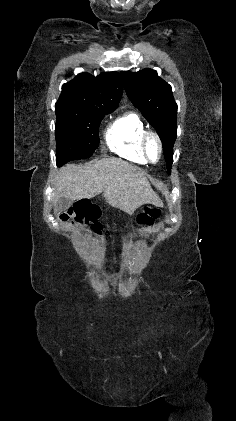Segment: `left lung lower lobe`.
<instances>
[{"mask_svg":"<svg viewBox=\"0 0 236 421\" xmlns=\"http://www.w3.org/2000/svg\"><path fill=\"white\" fill-rule=\"evenodd\" d=\"M166 167L168 169V173L170 174L171 173V164L170 163H167L166 164Z\"/></svg>","mask_w":236,"mask_h":421,"instance_id":"1","label":"left lung lower lobe"}]
</instances>
